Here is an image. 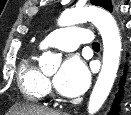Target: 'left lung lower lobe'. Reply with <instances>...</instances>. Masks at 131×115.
Here are the masks:
<instances>
[{
    "mask_svg": "<svg viewBox=\"0 0 131 115\" xmlns=\"http://www.w3.org/2000/svg\"><path fill=\"white\" fill-rule=\"evenodd\" d=\"M127 70V67H125L124 71ZM124 81V76L121 78V81L119 83V85L121 86L123 84ZM117 99H121L122 98V91L120 90V92L116 95ZM119 107L117 106V102H115V104L112 106L111 108V112L108 113V115H115L116 113H118Z\"/></svg>",
    "mask_w": 131,
    "mask_h": 115,
    "instance_id": "1",
    "label": "left lung lower lobe"
}]
</instances>
